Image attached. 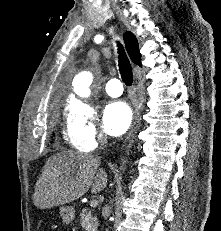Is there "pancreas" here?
Masks as SVG:
<instances>
[{
  "label": "pancreas",
  "mask_w": 221,
  "mask_h": 231,
  "mask_svg": "<svg viewBox=\"0 0 221 231\" xmlns=\"http://www.w3.org/2000/svg\"><path fill=\"white\" fill-rule=\"evenodd\" d=\"M80 217L82 228H84L86 231H97L98 220L97 217L94 216L93 210L84 208L80 213Z\"/></svg>",
  "instance_id": "cf45deb5"
}]
</instances>
